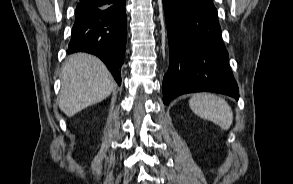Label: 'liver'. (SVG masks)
Returning a JSON list of instances; mask_svg holds the SVG:
<instances>
[{
  "label": "liver",
  "mask_w": 293,
  "mask_h": 184,
  "mask_svg": "<svg viewBox=\"0 0 293 184\" xmlns=\"http://www.w3.org/2000/svg\"><path fill=\"white\" fill-rule=\"evenodd\" d=\"M59 107L68 117L106 99L115 87L100 59L86 53L71 55L62 67Z\"/></svg>",
  "instance_id": "6515ba94"
}]
</instances>
